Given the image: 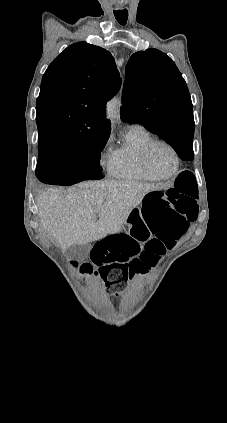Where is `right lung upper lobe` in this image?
I'll return each instance as SVG.
<instances>
[{
  "instance_id": "1",
  "label": "right lung upper lobe",
  "mask_w": 227,
  "mask_h": 423,
  "mask_svg": "<svg viewBox=\"0 0 227 423\" xmlns=\"http://www.w3.org/2000/svg\"><path fill=\"white\" fill-rule=\"evenodd\" d=\"M121 85L113 56L78 42L67 47L43 75L36 101L39 144L83 135H110L105 105Z\"/></svg>"
}]
</instances>
